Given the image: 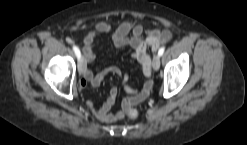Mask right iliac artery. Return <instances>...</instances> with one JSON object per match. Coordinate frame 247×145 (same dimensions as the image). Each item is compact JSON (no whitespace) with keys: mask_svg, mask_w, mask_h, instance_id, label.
<instances>
[{"mask_svg":"<svg viewBox=\"0 0 247 145\" xmlns=\"http://www.w3.org/2000/svg\"><path fill=\"white\" fill-rule=\"evenodd\" d=\"M73 50H74V52H75L77 58L80 59L81 53H80L79 48H78L77 46H73Z\"/></svg>","mask_w":247,"mask_h":145,"instance_id":"1","label":"right iliac artery"}]
</instances>
